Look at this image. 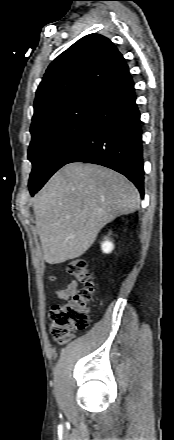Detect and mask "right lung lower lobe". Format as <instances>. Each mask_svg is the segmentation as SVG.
Masks as SVG:
<instances>
[{"label": "right lung lower lobe", "mask_w": 174, "mask_h": 440, "mask_svg": "<svg viewBox=\"0 0 174 440\" xmlns=\"http://www.w3.org/2000/svg\"><path fill=\"white\" fill-rule=\"evenodd\" d=\"M93 115L71 162H87L125 175L144 196L143 141L140 113L130 73L96 94ZM44 184L30 191L33 196Z\"/></svg>", "instance_id": "1"}]
</instances>
